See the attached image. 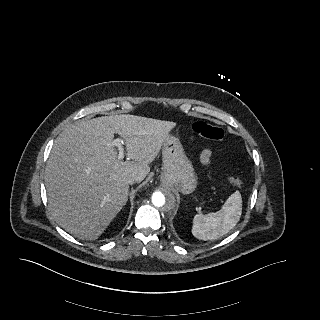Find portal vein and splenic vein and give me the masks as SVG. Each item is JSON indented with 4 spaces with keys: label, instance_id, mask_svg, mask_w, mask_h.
Returning a JSON list of instances; mask_svg holds the SVG:
<instances>
[{
    "label": "portal vein and splenic vein",
    "instance_id": "obj_1",
    "mask_svg": "<svg viewBox=\"0 0 320 320\" xmlns=\"http://www.w3.org/2000/svg\"><path fill=\"white\" fill-rule=\"evenodd\" d=\"M113 146H116L118 148V159H123L124 157V149H123V145H124V141L122 139H115L112 142Z\"/></svg>",
    "mask_w": 320,
    "mask_h": 320
}]
</instances>
